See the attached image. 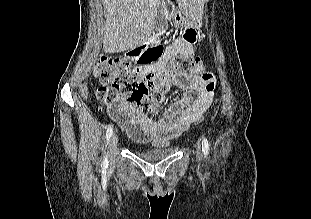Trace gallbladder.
I'll list each match as a JSON object with an SVG mask.
<instances>
[{
  "instance_id": "1",
  "label": "gallbladder",
  "mask_w": 311,
  "mask_h": 219,
  "mask_svg": "<svg viewBox=\"0 0 311 219\" xmlns=\"http://www.w3.org/2000/svg\"><path fill=\"white\" fill-rule=\"evenodd\" d=\"M157 26L160 28H164L166 26L164 21L161 19V16H158L157 18Z\"/></svg>"
}]
</instances>
